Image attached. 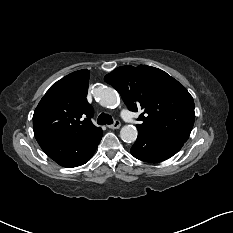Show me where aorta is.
I'll return each instance as SVG.
<instances>
[{"instance_id": "obj_1", "label": "aorta", "mask_w": 233, "mask_h": 233, "mask_svg": "<svg viewBox=\"0 0 233 233\" xmlns=\"http://www.w3.org/2000/svg\"><path fill=\"white\" fill-rule=\"evenodd\" d=\"M100 104L105 107H113L117 104L119 96L115 89L110 87H101L98 90ZM138 131L133 125H125L120 130V137L126 143L135 142Z\"/></svg>"}]
</instances>
